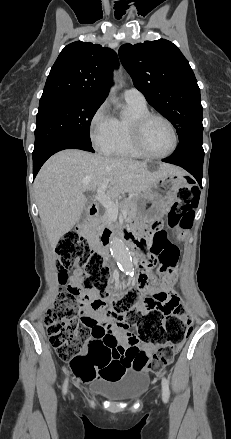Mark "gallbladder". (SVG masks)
I'll use <instances>...</instances> for the list:
<instances>
[{"mask_svg":"<svg viewBox=\"0 0 231 439\" xmlns=\"http://www.w3.org/2000/svg\"><path fill=\"white\" fill-rule=\"evenodd\" d=\"M86 216V207L84 208L82 215H81V220H83Z\"/></svg>","mask_w":231,"mask_h":439,"instance_id":"gallbladder-1","label":"gallbladder"}]
</instances>
